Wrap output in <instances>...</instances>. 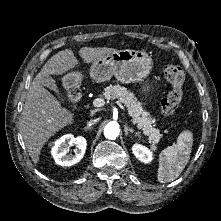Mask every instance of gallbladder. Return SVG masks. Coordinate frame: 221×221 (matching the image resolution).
<instances>
[{
  "label": "gallbladder",
  "instance_id": "1",
  "mask_svg": "<svg viewBox=\"0 0 221 221\" xmlns=\"http://www.w3.org/2000/svg\"><path fill=\"white\" fill-rule=\"evenodd\" d=\"M42 84L49 88L50 90L54 91L55 93H58L57 85L55 84V81L50 76H44L42 80Z\"/></svg>",
  "mask_w": 221,
  "mask_h": 221
}]
</instances>
